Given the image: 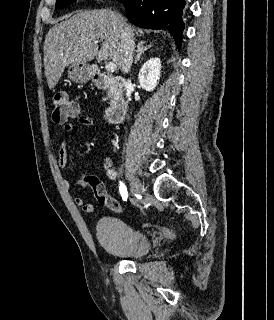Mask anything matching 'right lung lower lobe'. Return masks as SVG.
I'll list each match as a JSON object with an SVG mask.
<instances>
[{"label":"right lung lower lobe","mask_w":274,"mask_h":320,"mask_svg":"<svg viewBox=\"0 0 274 320\" xmlns=\"http://www.w3.org/2000/svg\"><path fill=\"white\" fill-rule=\"evenodd\" d=\"M126 9L130 22L141 28L168 30L180 46L184 23L185 0H118Z\"/></svg>","instance_id":"obj_1"}]
</instances>
